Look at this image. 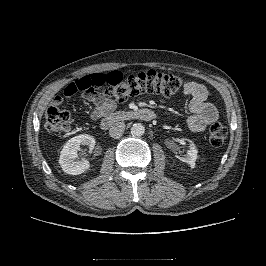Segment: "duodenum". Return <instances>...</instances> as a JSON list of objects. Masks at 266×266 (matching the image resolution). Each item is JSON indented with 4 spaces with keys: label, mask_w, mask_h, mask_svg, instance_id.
<instances>
[{
    "label": "duodenum",
    "mask_w": 266,
    "mask_h": 266,
    "mask_svg": "<svg viewBox=\"0 0 266 266\" xmlns=\"http://www.w3.org/2000/svg\"><path fill=\"white\" fill-rule=\"evenodd\" d=\"M155 117H156L155 112L147 108L131 112L121 111L104 116L103 119L101 120L100 127L103 130H107L112 126L129 119H140L143 121H151Z\"/></svg>",
    "instance_id": "obj_1"
}]
</instances>
